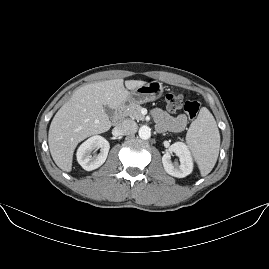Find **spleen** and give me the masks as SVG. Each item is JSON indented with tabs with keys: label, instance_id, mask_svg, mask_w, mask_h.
<instances>
[{
	"label": "spleen",
	"instance_id": "3e777b00",
	"mask_svg": "<svg viewBox=\"0 0 269 269\" xmlns=\"http://www.w3.org/2000/svg\"><path fill=\"white\" fill-rule=\"evenodd\" d=\"M190 148L201 176L208 175L219 155L220 134L217 123L206 107H202L198 117L191 123L186 134Z\"/></svg>",
	"mask_w": 269,
	"mask_h": 269
}]
</instances>
